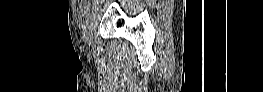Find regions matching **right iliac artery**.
<instances>
[{"mask_svg": "<svg viewBox=\"0 0 263 92\" xmlns=\"http://www.w3.org/2000/svg\"><path fill=\"white\" fill-rule=\"evenodd\" d=\"M90 10H91V4L87 3L86 4V9L84 11V22H83V25H82V28L84 30L88 29L89 25H90V22H89V12H90Z\"/></svg>", "mask_w": 263, "mask_h": 92, "instance_id": "obj_1", "label": "right iliac artery"}]
</instances>
